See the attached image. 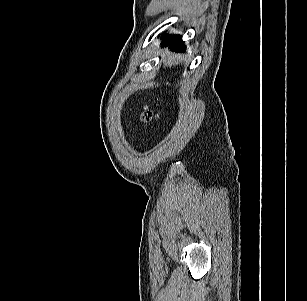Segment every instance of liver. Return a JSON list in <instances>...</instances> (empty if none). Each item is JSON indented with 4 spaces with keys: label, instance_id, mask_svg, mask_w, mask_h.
I'll list each match as a JSON object with an SVG mask.
<instances>
[{
    "label": "liver",
    "instance_id": "1",
    "mask_svg": "<svg viewBox=\"0 0 307 301\" xmlns=\"http://www.w3.org/2000/svg\"><path fill=\"white\" fill-rule=\"evenodd\" d=\"M166 61V65L168 66H171L172 65V60H173V53L172 52H166V55H165V59Z\"/></svg>",
    "mask_w": 307,
    "mask_h": 301
}]
</instances>
